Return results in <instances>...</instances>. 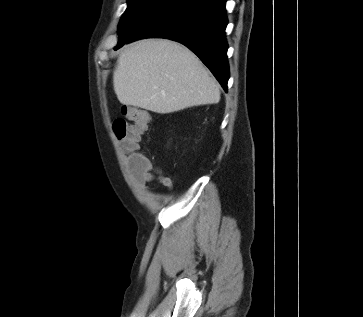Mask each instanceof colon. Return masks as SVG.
I'll list each match as a JSON object with an SVG mask.
<instances>
[{
	"label": "colon",
	"instance_id": "obj_1",
	"mask_svg": "<svg viewBox=\"0 0 363 317\" xmlns=\"http://www.w3.org/2000/svg\"><path fill=\"white\" fill-rule=\"evenodd\" d=\"M149 123L150 115L146 111L130 106H124L122 116L113 122L115 137L128 156L129 165L133 167L143 165L146 160L145 155L139 152V145Z\"/></svg>",
	"mask_w": 363,
	"mask_h": 317
}]
</instances>
